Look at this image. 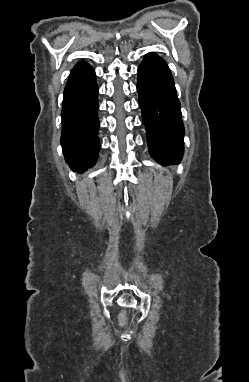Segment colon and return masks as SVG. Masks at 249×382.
Here are the masks:
<instances>
[{
	"label": "colon",
	"instance_id": "colon-1",
	"mask_svg": "<svg viewBox=\"0 0 249 382\" xmlns=\"http://www.w3.org/2000/svg\"><path fill=\"white\" fill-rule=\"evenodd\" d=\"M125 321H126V319H125V313H122V314L120 315V323H121V324H124Z\"/></svg>",
	"mask_w": 249,
	"mask_h": 382
}]
</instances>
